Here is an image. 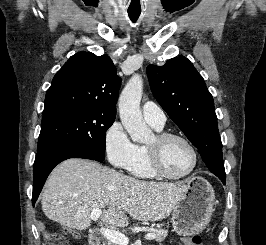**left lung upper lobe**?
Here are the masks:
<instances>
[{"label": "left lung upper lobe", "instance_id": "left-lung-upper-lobe-1", "mask_svg": "<svg viewBox=\"0 0 266 245\" xmlns=\"http://www.w3.org/2000/svg\"><path fill=\"white\" fill-rule=\"evenodd\" d=\"M147 75L154 97L198 148L209 170L225 177L214 101L193 64L179 56L163 66H147Z\"/></svg>", "mask_w": 266, "mask_h": 245}]
</instances>
